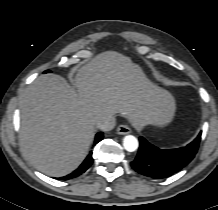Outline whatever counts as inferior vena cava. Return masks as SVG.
Listing matches in <instances>:
<instances>
[{
    "mask_svg": "<svg viewBox=\"0 0 218 210\" xmlns=\"http://www.w3.org/2000/svg\"><path fill=\"white\" fill-rule=\"evenodd\" d=\"M116 125V120L114 117H108L102 122H99L97 124V127L102 131H110L112 130Z\"/></svg>",
    "mask_w": 218,
    "mask_h": 210,
    "instance_id": "1",
    "label": "inferior vena cava"
}]
</instances>
